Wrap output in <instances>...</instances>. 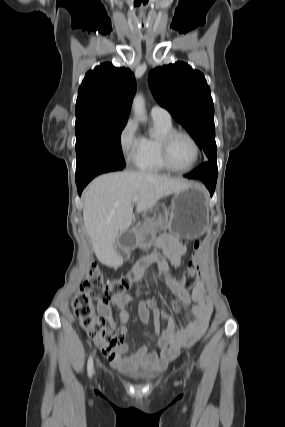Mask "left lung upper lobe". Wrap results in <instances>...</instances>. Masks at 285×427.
<instances>
[{
    "mask_svg": "<svg viewBox=\"0 0 285 427\" xmlns=\"http://www.w3.org/2000/svg\"><path fill=\"white\" fill-rule=\"evenodd\" d=\"M148 82L157 102L186 128L208 160L216 159L214 106L204 75L176 62L150 71Z\"/></svg>",
    "mask_w": 285,
    "mask_h": 427,
    "instance_id": "obj_1",
    "label": "left lung upper lobe"
}]
</instances>
